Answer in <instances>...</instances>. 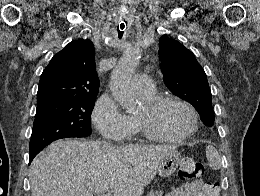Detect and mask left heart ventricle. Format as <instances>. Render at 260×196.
Wrapping results in <instances>:
<instances>
[{
	"instance_id": "obj_1",
	"label": "left heart ventricle",
	"mask_w": 260,
	"mask_h": 196,
	"mask_svg": "<svg viewBox=\"0 0 260 196\" xmlns=\"http://www.w3.org/2000/svg\"><path fill=\"white\" fill-rule=\"evenodd\" d=\"M136 116L151 129L170 136H180L186 133L193 125L191 112L185 106L175 102L168 103L155 112H149L144 103ZM95 191L107 192L112 190Z\"/></svg>"
}]
</instances>
